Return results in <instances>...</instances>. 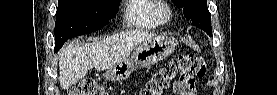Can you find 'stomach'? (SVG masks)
Returning <instances> with one entry per match:
<instances>
[{
    "mask_svg": "<svg viewBox=\"0 0 277 95\" xmlns=\"http://www.w3.org/2000/svg\"><path fill=\"white\" fill-rule=\"evenodd\" d=\"M176 45L175 39L168 36L145 40L136 47L131 57H126L108 69L105 77L111 81L126 80L134 69L150 67L169 56L175 51Z\"/></svg>",
    "mask_w": 277,
    "mask_h": 95,
    "instance_id": "obj_1",
    "label": "stomach"
}]
</instances>
